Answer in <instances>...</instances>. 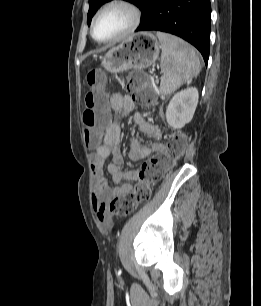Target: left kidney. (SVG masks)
I'll use <instances>...</instances> for the list:
<instances>
[{"label": "left kidney", "instance_id": "obj_1", "mask_svg": "<svg viewBox=\"0 0 261 306\" xmlns=\"http://www.w3.org/2000/svg\"><path fill=\"white\" fill-rule=\"evenodd\" d=\"M198 90L187 88L176 93L170 100L166 110V120L170 127L181 129L189 123L198 104Z\"/></svg>", "mask_w": 261, "mask_h": 306}]
</instances>
